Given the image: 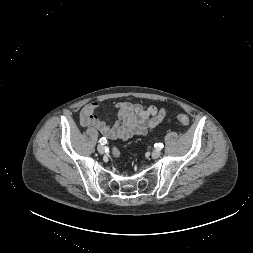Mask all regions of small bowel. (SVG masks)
Wrapping results in <instances>:
<instances>
[{"label":"small bowel","instance_id":"obj_1","mask_svg":"<svg viewBox=\"0 0 253 253\" xmlns=\"http://www.w3.org/2000/svg\"><path fill=\"white\" fill-rule=\"evenodd\" d=\"M102 108L98 102H90L80 112V123L93 127L109 139L128 140L145 135L154 129L164 118L165 110L140 103L120 102L115 105L117 121L109 124L97 112Z\"/></svg>","mask_w":253,"mask_h":253}]
</instances>
